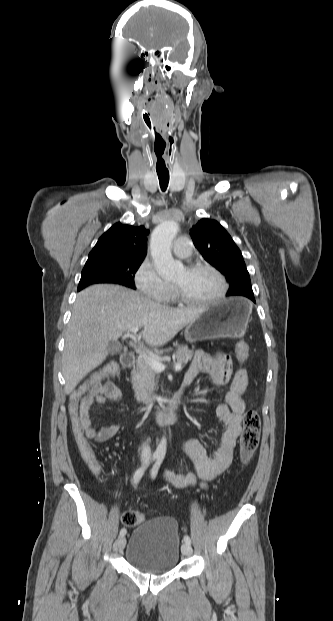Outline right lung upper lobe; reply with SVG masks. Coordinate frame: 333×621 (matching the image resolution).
<instances>
[{"instance_id": "1", "label": "right lung upper lobe", "mask_w": 333, "mask_h": 621, "mask_svg": "<svg viewBox=\"0 0 333 621\" xmlns=\"http://www.w3.org/2000/svg\"><path fill=\"white\" fill-rule=\"evenodd\" d=\"M148 234L149 230L143 226L116 223L99 238L87 261L105 259L143 261L146 256Z\"/></svg>"}]
</instances>
